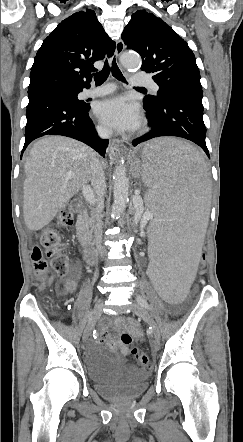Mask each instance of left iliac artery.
I'll return each mask as SVG.
<instances>
[{
    "mask_svg": "<svg viewBox=\"0 0 243 442\" xmlns=\"http://www.w3.org/2000/svg\"><path fill=\"white\" fill-rule=\"evenodd\" d=\"M137 301L141 306L145 307L146 309H150L148 302L142 296L137 295ZM150 330H151V327H150Z\"/></svg>",
    "mask_w": 243,
    "mask_h": 442,
    "instance_id": "left-iliac-artery-1",
    "label": "left iliac artery"
}]
</instances>
